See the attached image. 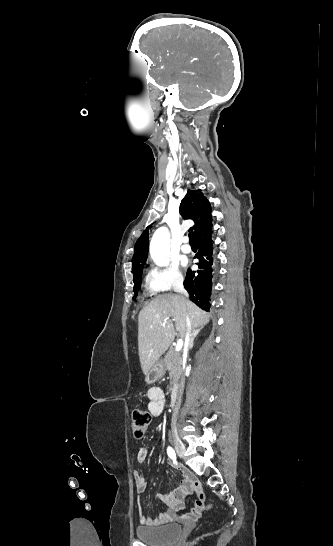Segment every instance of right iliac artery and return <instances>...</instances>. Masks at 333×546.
I'll return each mask as SVG.
<instances>
[{
  "instance_id": "obj_1",
  "label": "right iliac artery",
  "mask_w": 333,
  "mask_h": 546,
  "mask_svg": "<svg viewBox=\"0 0 333 546\" xmlns=\"http://www.w3.org/2000/svg\"><path fill=\"white\" fill-rule=\"evenodd\" d=\"M167 454L173 460V463H177L176 462V453H175V451H174V449L172 447L169 446L167 448Z\"/></svg>"
}]
</instances>
